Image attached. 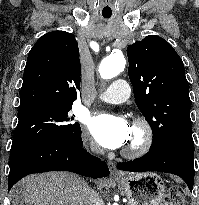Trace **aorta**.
<instances>
[{
	"instance_id": "762f6f07",
	"label": "aorta",
	"mask_w": 199,
	"mask_h": 205,
	"mask_svg": "<svg viewBox=\"0 0 199 205\" xmlns=\"http://www.w3.org/2000/svg\"><path fill=\"white\" fill-rule=\"evenodd\" d=\"M125 63L122 54H112L105 57L99 65L101 78L107 80L119 75L125 68Z\"/></svg>"
}]
</instances>
